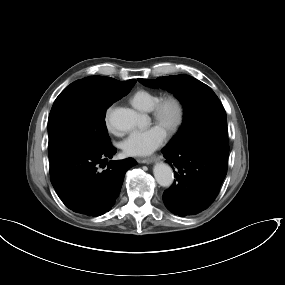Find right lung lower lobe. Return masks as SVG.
<instances>
[{
    "mask_svg": "<svg viewBox=\"0 0 285 285\" xmlns=\"http://www.w3.org/2000/svg\"><path fill=\"white\" fill-rule=\"evenodd\" d=\"M116 151L111 143L104 147L79 148L50 162L51 183L66 207L93 217L112 208L126 171L136 164L132 158L107 163V158Z\"/></svg>",
    "mask_w": 285,
    "mask_h": 285,
    "instance_id": "obj_1",
    "label": "right lung lower lobe"
}]
</instances>
